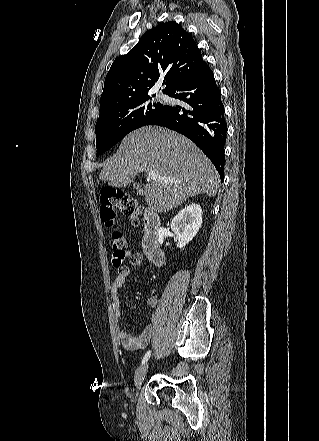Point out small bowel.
Segmentation results:
<instances>
[{
    "mask_svg": "<svg viewBox=\"0 0 319 441\" xmlns=\"http://www.w3.org/2000/svg\"><path fill=\"white\" fill-rule=\"evenodd\" d=\"M128 259L131 267H137L143 262V255L139 252H131L128 254ZM117 267V275L114 278L110 287V299L113 305V311L115 317L119 320L121 317L120 311V296L121 289L126 285V279L130 273V267L115 265ZM146 304L150 308H155L158 304V298L156 296H150L146 300ZM154 331L153 322H149L142 331L135 335L131 334L124 329L119 330V339L122 346L129 351L144 350L149 344Z\"/></svg>",
    "mask_w": 319,
    "mask_h": 441,
    "instance_id": "c3829d8e",
    "label": "small bowel"
}]
</instances>
